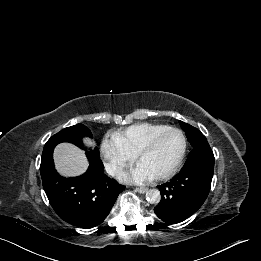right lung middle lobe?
<instances>
[{
	"label": "right lung middle lobe",
	"mask_w": 261,
	"mask_h": 261,
	"mask_svg": "<svg viewBox=\"0 0 261 261\" xmlns=\"http://www.w3.org/2000/svg\"><path fill=\"white\" fill-rule=\"evenodd\" d=\"M82 136L92 137L91 132L87 127L83 124H76L71 127H67L57 134L53 135L45 144L42 156L47 158V155H51L53 153V149L55 145L60 142H71L73 144H77V142L82 138ZM95 152H98V149L95 148Z\"/></svg>",
	"instance_id": "1"
}]
</instances>
